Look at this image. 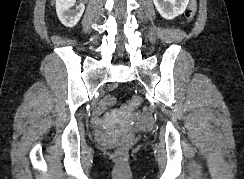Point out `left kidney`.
<instances>
[{
    "instance_id": "obj_1",
    "label": "left kidney",
    "mask_w": 244,
    "mask_h": 179,
    "mask_svg": "<svg viewBox=\"0 0 244 179\" xmlns=\"http://www.w3.org/2000/svg\"><path fill=\"white\" fill-rule=\"evenodd\" d=\"M156 10L165 20H173L185 12L189 0H153Z\"/></svg>"
}]
</instances>
